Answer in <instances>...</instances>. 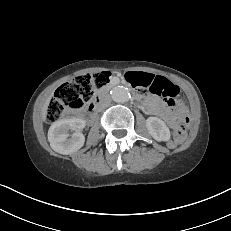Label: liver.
<instances>
[{
  "label": "liver",
  "mask_w": 231,
  "mask_h": 231,
  "mask_svg": "<svg viewBox=\"0 0 231 231\" xmlns=\"http://www.w3.org/2000/svg\"><path fill=\"white\" fill-rule=\"evenodd\" d=\"M51 98H52V94L46 99V101H45V103H44V105L42 107L43 120H46L47 110H48V106H49Z\"/></svg>",
  "instance_id": "obj_1"
}]
</instances>
